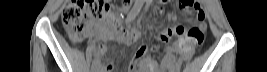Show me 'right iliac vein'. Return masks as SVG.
<instances>
[{
    "label": "right iliac vein",
    "instance_id": "1",
    "mask_svg": "<svg viewBox=\"0 0 267 72\" xmlns=\"http://www.w3.org/2000/svg\"><path fill=\"white\" fill-rule=\"evenodd\" d=\"M92 72H98V64H94L92 67Z\"/></svg>",
    "mask_w": 267,
    "mask_h": 72
}]
</instances>
